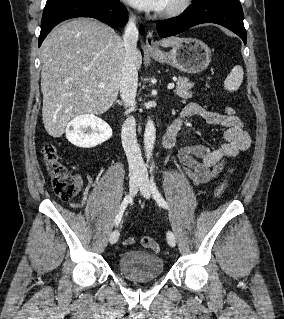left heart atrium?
Segmentation results:
<instances>
[{"instance_id":"39dd6f15","label":"left heart atrium","mask_w":284,"mask_h":319,"mask_svg":"<svg viewBox=\"0 0 284 319\" xmlns=\"http://www.w3.org/2000/svg\"><path fill=\"white\" fill-rule=\"evenodd\" d=\"M132 6L146 11L164 10L168 0H126Z\"/></svg>"}]
</instances>
